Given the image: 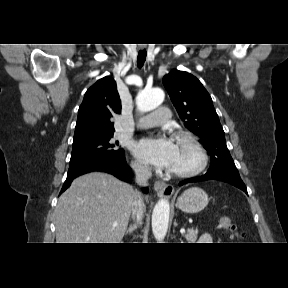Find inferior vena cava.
Returning a JSON list of instances; mask_svg holds the SVG:
<instances>
[{
    "mask_svg": "<svg viewBox=\"0 0 288 288\" xmlns=\"http://www.w3.org/2000/svg\"><path fill=\"white\" fill-rule=\"evenodd\" d=\"M133 170L135 171L136 175V183L140 186H148V180L151 178V170L148 165L144 164H134ZM145 211V204L141 193L136 191V197L132 207V216L133 219H136L137 224H142V219L144 216Z\"/></svg>",
    "mask_w": 288,
    "mask_h": 288,
    "instance_id": "602c4592",
    "label": "inferior vena cava"
}]
</instances>
